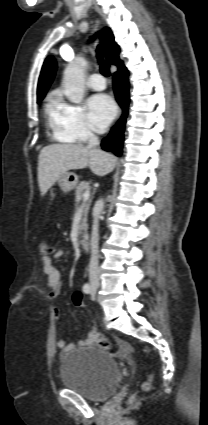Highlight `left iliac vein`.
I'll return each instance as SVG.
<instances>
[{"instance_id":"obj_1","label":"left iliac vein","mask_w":208,"mask_h":425,"mask_svg":"<svg viewBox=\"0 0 208 425\" xmlns=\"http://www.w3.org/2000/svg\"><path fill=\"white\" fill-rule=\"evenodd\" d=\"M98 286H99L98 283H93L92 284V290H91V297H92V299L95 298V293H96V290H97Z\"/></svg>"}]
</instances>
